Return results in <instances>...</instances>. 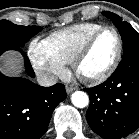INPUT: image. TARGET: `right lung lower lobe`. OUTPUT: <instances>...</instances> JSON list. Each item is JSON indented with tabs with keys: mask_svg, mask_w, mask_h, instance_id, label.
I'll return each mask as SVG.
<instances>
[{
	"mask_svg": "<svg viewBox=\"0 0 139 139\" xmlns=\"http://www.w3.org/2000/svg\"><path fill=\"white\" fill-rule=\"evenodd\" d=\"M7 50L19 51L27 74L35 77L21 47L0 45V55ZM66 96L63 84L42 87L26 78L7 77L0 72V139H39L47 131L53 110Z\"/></svg>",
	"mask_w": 139,
	"mask_h": 139,
	"instance_id": "1",
	"label": "right lung lower lobe"
}]
</instances>
